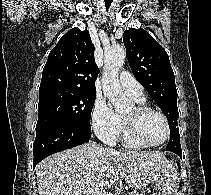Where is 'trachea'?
<instances>
[{
    "label": "trachea",
    "instance_id": "3493384b",
    "mask_svg": "<svg viewBox=\"0 0 211 195\" xmlns=\"http://www.w3.org/2000/svg\"><path fill=\"white\" fill-rule=\"evenodd\" d=\"M111 2H112V0H105L106 11H108V9L110 8Z\"/></svg>",
    "mask_w": 211,
    "mask_h": 195
}]
</instances>
